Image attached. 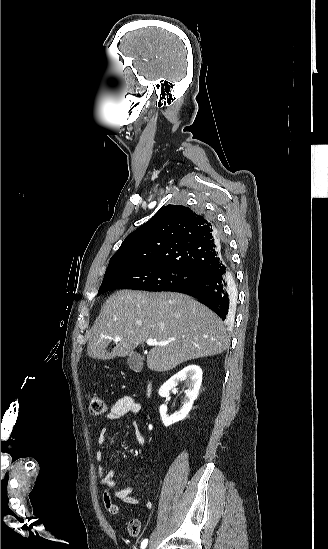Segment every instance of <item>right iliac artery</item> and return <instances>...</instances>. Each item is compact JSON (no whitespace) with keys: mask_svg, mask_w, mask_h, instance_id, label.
I'll use <instances>...</instances> for the list:
<instances>
[{"mask_svg":"<svg viewBox=\"0 0 328 549\" xmlns=\"http://www.w3.org/2000/svg\"><path fill=\"white\" fill-rule=\"evenodd\" d=\"M147 543H148V539H144L141 543V549H145V547L147 546Z\"/></svg>","mask_w":328,"mask_h":549,"instance_id":"right-iliac-artery-1","label":"right iliac artery"}]
</instances>
